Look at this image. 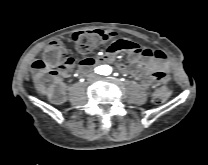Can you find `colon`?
<instances>
[{"label":"colon","instance_id":"1","mask_svg":"<svg viewBox=\"0 0 208 165\" xmlns=\"http://www.w3.org/2000/svg\"><path fill=\"white\" fill-rule=\"evenodd\" d=\"M73 42L77 51L83 55L89 54L94 47L105 39L102 30L79 31L73 34ZM73 65V59L66 48L57 42L49 44L42 58L32 63L33 76L42 91L52 100H61L64 96V86L58 78V71ZM171 95L167 86H162L153 93L156 104L164 103Z\"/></svg>","mask_w":208,"mask_h":165}]
</instances>
